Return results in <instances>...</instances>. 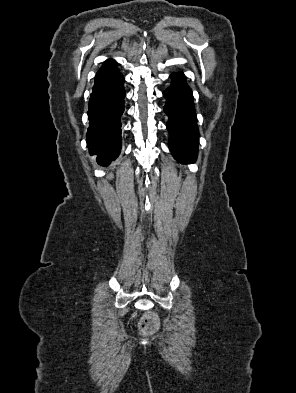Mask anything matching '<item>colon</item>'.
Returning <instances> with one entry per match:
<instances>
[{"mask_svg": "<svg viewBox=\"0 0 296 393\" xmlns=\"http://www.w3.org/2000/svg\"><path fill=\"white\" fill-rule=\"evenodd\" d=\"M160 320L155 312H147L139 321V330L144 335L153 334L159 328Z\"/></svg>", "mask_w": 296, "mask_h": 393, "instance_id": "obj_1", "label": "colon"}]
</instances>
